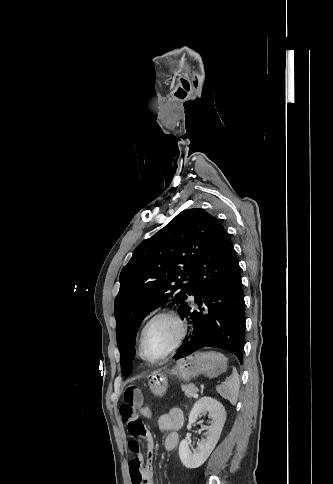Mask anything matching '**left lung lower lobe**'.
<instances>
[{"mask_svg": "<svg viewBox=\"0 0 333 484\" xmlns=\"http://www.w3.org/2000/svg\"><path fill=\"white\" fill-rule=\"evenodd\" d=\"M188 280L190 295H194L199 308L180 305L179 314L192 323L193 332L173 358L214 347L233 353L242 363L245 302L240 268L230 237L216 218L194 259Z\"/></svg>", "mask_w": 333, "mask_h": 484, "instance_id": "left-lung-lower-lobe-1", "label": "left lung lower lobe"}]
</instances>
